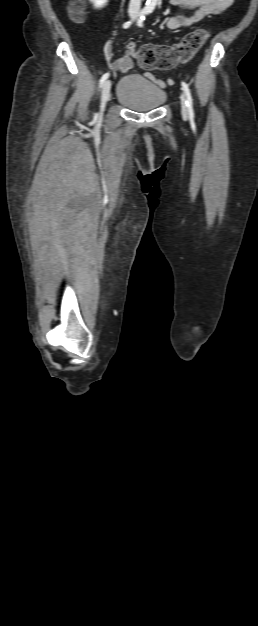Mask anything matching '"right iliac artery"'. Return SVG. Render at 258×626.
I'll list each match as a JSON object with an SVG mask.
<instances>
[{
    "label": "right iliac artery",
    "mask_w": 258,
    "mask_h": 626,
    "mask_svg": "<svg viewBox=\"0 0 258 626\" xmlns=\"http://www.w3.org/2000/svg\"><path fill=\"white\" fill-rule=\"evenodd\" d=\"M146 13H147V11H146L145 9H143V10H142V11L138 14V16H137V17H140V18H141V17H142V16H144ZM131 25H132V21H127V22H125V23L123 24V28H125V29H126V28H129ZM109 75H110V74H109V72H107V73H105V74L101 77V79H100V87H102V85H103V84H104V82L107 80V78L109 77Z\"/></svg>",
    "instance_id": "obj_1"
}]
</instances>
